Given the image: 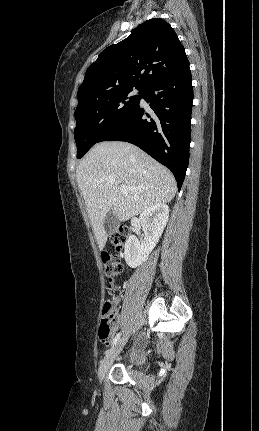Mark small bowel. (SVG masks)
<instances>
[{
  "mask_svg": "<svg viewBox=\"0 0 259 431\" xmlns=\"http://www.w3.org/2000/svg\"><path fill=\"white\" fill-rule=\"evenodd\" d=\"M119 301H120V300L117 298V299H115L113 302H114V304H115V305H117V304L119 303ZM118 322H119V320H118Z\"/></svg>",
  "mask_w": 259,
  "mask_h": 431,
  "instance_id": "small-bowel-1",
  "label": "small bowel"
}]
</instances>
